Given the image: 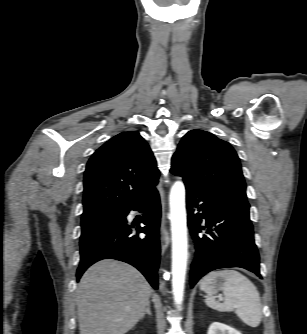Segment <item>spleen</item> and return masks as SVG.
<instances>
[{
	"mask_svg": "<svg viewBox=\"0 0 307 334\" xmlns=\"http://www.w3.org/2000/svg\"><path fill=\"white\" fill-rule=\"evenodd\" d=\"M218 286V288H217ZM200 289L206 293L208 307L220 311H234L248 326L257 327L262 318L260 295L255 285L244 275L232 269L213 271L200 281ZM221 290L224 302L216 300L215 294Z\"/></svg>",
	"mask_w": 307,
	"mask_h": 334,
	"instance_id": "obj_1",
	"label": "spleen"
}]
</instances>
